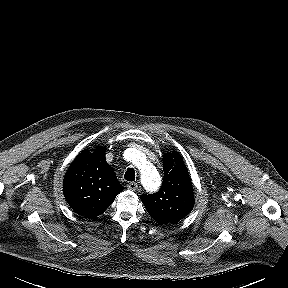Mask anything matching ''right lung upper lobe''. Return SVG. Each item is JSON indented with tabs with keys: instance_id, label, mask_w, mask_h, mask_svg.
<instances>
[{
	"instance_id": "right-lung-upper-lobe-1",
	"label": "right lung upper lobe",
	"mask_w": 288,
	"mask_h": 288,
	"mask_svg": "<svg viewBox=\"0 0 288 288\" xmlns=\"http://www.w3.org/2000/svg\"><path fill=\"white\" fill-rule=\"evenodd\" d=\"M122 190L113 168L106 162L104 147L94 150L93 154L82 151L64 178L67 203L88 218L102 214Z\"/></svg>"
}]
</instances>
